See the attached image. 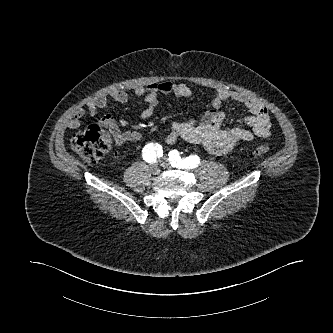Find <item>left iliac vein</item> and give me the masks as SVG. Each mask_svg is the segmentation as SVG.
I'll return each mask as SVG.
<instances>
[{
    "label": "left iliac vein",
    "instance_id": "left-iliac-vein-1",
    "mask_svg": "<svg viewBox=\"0 0 333 333\" xmlns=\"http://www.w3.org/2000/svg\"><path fill=\"white\" fill-rule=\"evenodd\" d=\"M161 165L164 168H171V164L168 162V160L166 158H163V161H162Z\"/></svg>",
    "mask_w": 333,
    "mask_h": 333
}]
</instances>
